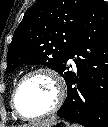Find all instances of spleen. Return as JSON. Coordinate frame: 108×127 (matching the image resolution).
<instances>
[{"instance_id":"obj_1","label":"spleen","mask_w":108,"mask_h":127,"mask_svg":"<svg viewBox=\"0 0 108 127\" xmlns=\"http://www.w3.org/2000/svg\"><path fill=\"white\" fill-rule=\"evenodd\" d=\"M72 127H82V126L79 124H72Z\"/></svg>"}]
</instances>
